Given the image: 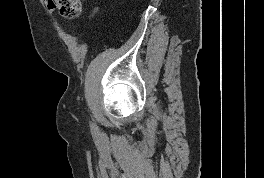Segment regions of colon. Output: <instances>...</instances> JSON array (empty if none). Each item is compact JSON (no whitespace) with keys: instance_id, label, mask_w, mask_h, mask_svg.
I'll use <instances>...</instances> for the list:
<instances>
[{"instance_id":"obj_1","label":"colon","mask_w":264,"mask_h":178,"mask_svg":"<svg viewBox=\"0 0 264 178\" xmlns=\"http://www.w3.org/2000/svg\"><path fill=\"white\" fill-rule=\"evenodd\" d=\"M49 5L57 8L65 18H75L81 13V0H49Z\"/></svg>"}]
</instances>
